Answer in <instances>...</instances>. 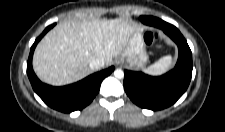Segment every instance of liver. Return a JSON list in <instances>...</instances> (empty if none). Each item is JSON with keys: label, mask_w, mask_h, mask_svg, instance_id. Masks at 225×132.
<instances>
[{"label": "liver", "mask_w": 225, "mask_h": 132, "mask_svg": "<svg viewBox=\"0 0 225 132\" xmlns=\"http://www.w3.org/2000/svg\"><path fill=\"white\" fill-rule=\"evenodd\" d=\"M137 30V25L125 18L64 21L37 45L33 69L41 81L53 86L79 81L93 72L89 67L93 59L111 65Z\"/></svg>", "instance_id": "6515ba94"}]
</instances>
